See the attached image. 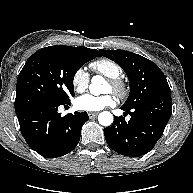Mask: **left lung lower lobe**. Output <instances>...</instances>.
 Listing matches in <instances>:
<instances>
[{
    "instance_id": "left-lung-lower-lobe-1",
    "label": "left lung lower lobe",
    "mask_w": 193,
    "mask_h": 193,
    "mask_svg": "<svg viewBox=\"0 0 193 193\" xmlns=\"http://www.w3.org/2000/svg\"><path fill=\"white\" fill-rule=\"evenodd\" d=\"M121 109L131 115L130 120L115 116L114 123L104 129L105 139L119 154L142 156L155 146L171 117V93L165 91L132 109Z\"/></svg>"
}]
</instances>
